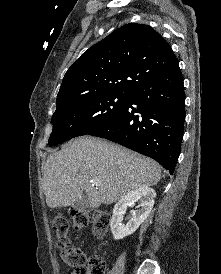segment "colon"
I'll use <instances>...</instances> for the list:
<instances>
[{
  "instance_id": "5ec220e1",
  "label": "colon",
  "mask_w": 221,
  "mask_h": 274,
  "mask_svg": "<svg viewBox=\"0 0 221 274\" xmlns=\"http://www.w3.org/2000/svg\"><path fill=\"white\" fill-rule=\"evenodd\" d=\"M110 218L107 212L99 209L75 210L71 214L72 225L79 230L91 226L95 237H103L109 227ZM53 228L57 234V244L61 249L64 263L73 268V274H105V263L98 257H90L87 261L81 248L71 245L68 238L69 221L62 215L53 220Z\"/></svg>"
}]
</instances>
